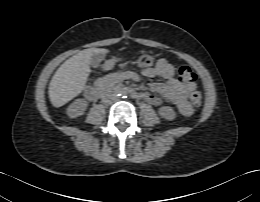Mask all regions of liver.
<instances>
[{
	"label": "liver",
	"mask_w": 260,
	"mask_h": 202,
	"mask_svg": "<svg viewBox=\"0 0 260 202\" xmlns=\"http://www.w3.org/2000/svg\"><path fill=\"white\" fill-rule=\"evenodd\" d=\"M109 51L101 48L85 49L67 59L55 72L49 84V99L54 107H61L78 96L85 88L90 74V59L97 53Z\"/></svg>",
	"instance_id": "6515ba94"
}]
</instances>
